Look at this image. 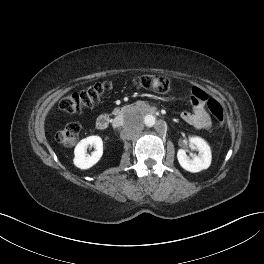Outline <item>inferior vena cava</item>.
<instances>
[{
    "mask_svg": "<svg viewBox=\"0 0 264 264\" xmlns=\"http://www.w3.org/2000/svg\"><path fill=\"white\" fill-rule=\"evenodd\" d=\"M123 124H124V120H123L121 117H117V118L112 122V125H113L115 128H119V127H121Z\"/></svg>",
    "mask_w": 264,
    "mask_h": 264,
    "instance_id": "inferior-vena-cava-1",
    "label": "inferior vena cava"
}]
</instances>
